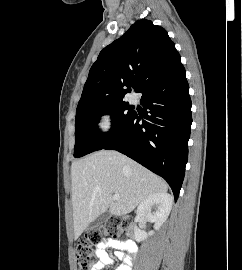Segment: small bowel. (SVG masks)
Returning <instances> with one entry per match:
<instances>
[{"mask_svg":"<svg viewBox=\"0 0 242 270\" xmlns=\"http://www.w3.org/2000/svg\"><path fill=\"white\" fill-rule=\"evenodd\" d=\"M107 248L114 249L116 258L122 261L121 264L115 266V270H132L133 254L137 250L136 244L132 241L113 239L104 240L98 244L96 249L97 262L94 264L93 270H102L106 265H114V260L107 252Z\"/></svg>","mask_w":242,"mask_h":270,"instance_id":"1","label":"small bowel"}]
</instances>
